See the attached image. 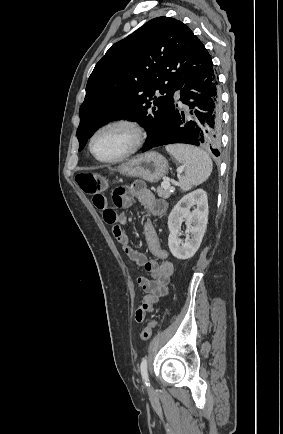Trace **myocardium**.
<instances>
[{"instance_id": "1", "label": "myocardium", "mask_w": 283, "mask_h": 434, "mask_svg": "<svg viewBox=\"0 0 283 434\" xmlns=\"http://www.w3.org/2000/svg\"><path fill=\"white\" fill-rule=\"evenodd\" d=\"M117 126L127 128L131 132V134H132L131 146L129 147V149L126 152H124L123 154H121L117 157H113V158H101V157H99L98 155H96L94 148H93V143H94L95 138L103 130L110 128V127H117ZM145 140H146V131L140 122H138L137 120L132 119V118L121 117V118H115V119L109 120V121L101 124L99 127H97L89 138L88 148H89L91 155L99 162L116 163V162H120V161L130 157L131 155H133L137 151H139L141 149V147L144 145Z\"/></svg>"}]
</instances>
